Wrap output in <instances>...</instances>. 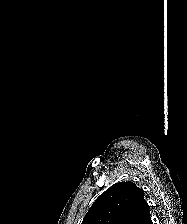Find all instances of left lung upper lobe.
Wrapping results in <instances>:
<instances>
[{
	"instance_id": "left-lung-upper-lobe-1",
	"label": "left lung upper lobe",
	"mask_w": 187,
	"mask_h": 224,
	"mask_svg": "<svg viewBox=\"0 0 187 224\" xmlns=\"http://www.w3.org/2000/svg\"><path fill=\"white\" fill-rule=\"evenodd\" d=\"M82 224H153L144 191L133 182H119L92 204Z\"/></svg>"
}]
</instances>
